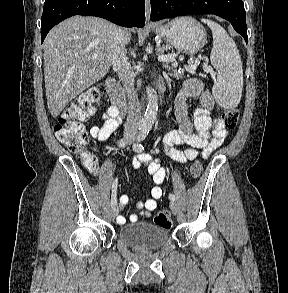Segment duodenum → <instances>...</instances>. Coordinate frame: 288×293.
<instances>
[{
	"mask_svg": "<svg viewBox=\"0 0 288 293\" xmlns=\"http://www.w3.org/2000/svg\"><path fill=\"white\" fill-rule=\"evenodd\" d=\"M105 88L112 106L117 108L119 111L126 110L127 102L116 80L114 78H108L105 83ZM164 90L165 82L159 78L154 85L155 95L160 96Z\"/></svg>",
	"mask_w": 288,
	"mask_h": 293,
	"instance_id": "duodenum-1",
	"label": "duodenum"
}]
</instances>
